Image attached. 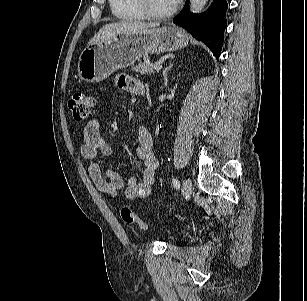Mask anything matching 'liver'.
Wrapping results in <instances>:
<instances>
[{
    "label": "liver",
    "mask_w": 307,
    "mask_h": 301,
    "mask_svg": "<svg viewBox=\"0 0 307 301\" xmlns=\"http://www.w3.org/2000/svg\"><path fill=\"white\" fill-rule=\"evenodd\" d=\"M159 26V23H145L142 21H121L109 23L103 26L100 31L89 41V45L106 41L120 33H135L145 29H152Z\"/></svg>",
    "instance_id": "1"
}]
</instances>
